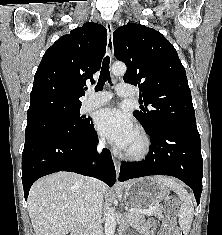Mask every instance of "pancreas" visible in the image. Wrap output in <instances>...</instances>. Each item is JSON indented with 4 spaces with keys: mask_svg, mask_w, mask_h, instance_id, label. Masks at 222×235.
I'll return each mask as SVG.
<instances>
[{
    "mask_svg": "<svg viewBox=\"0 0 222 235\" xmlns=\"http://www.w3.org/2000/svg\"><path fill=\"white\" fill-rule=\"evenodd\" d=\"M153 215L159 219H162L164 217L163 211L161 208L156 209L155 212H153ZM126 216H127V220L132 224L142 218V216L140 214L132 213V212H129Z\"/></svg>",
    "mask_w": 222,
    "mask_h": 235,
    "instance_id": "1",
    "label": "pancreas"
}]
</instances>
